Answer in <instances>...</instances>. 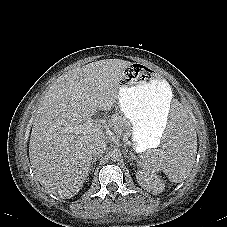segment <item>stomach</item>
<instances>
[{
  "label": "stomach",
  "instance_id": "0dacf381",
  "mask_svg": "<svg viewBox=\"0 0 227 227\" xmlns=\"http://www.w3.org/2000/svg\"><path fill=\"white\" fill-rule=\"evenodd\" d=\"M169 83L142 64H131L119 81L118 104L131 126L133 148L144 152L159 144L168 128L172 99Z\"/></svg>",
  "mask_w": 227,
  "mask_h": 227
}]
</instances>
